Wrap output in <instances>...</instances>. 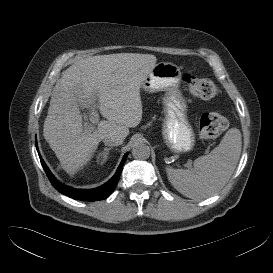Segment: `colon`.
Returning <instances> with one entry per match:
<instances>
[{"label":"colon","instance_id":"1","mask_svg":"<svg viewBox=\"0 0 273 273\" xmlns=\"http://www.w3.org/2000/svg\"><path fill=\"white\" fill-rule=\"evenodd\" d=\"M184 81L188 85L191 94L199 99L208 100L216 96L217 87L208 78L185 75ZM227 128V120L217 112H208L200 119V135L204 139L219 137Z\"/></svg>","mask_w":273,"mask_h":273}]
</instances>
